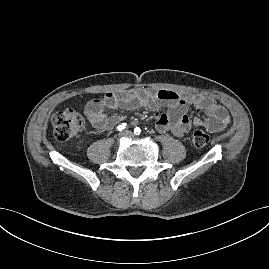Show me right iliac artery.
Instances as JSON below:
<instances>
[{
	"label": "right iliac artery",
	"mask_w": 269,
	"mask_h": 269,
	"mask_svg": "<svg viewBox=\"0 0 269 269\" xmlns=\"http://www.w3.org/2000/svg\"><path fill=\"white\" fill-rule=\"evenodd\" d=\"M126 127H127V124H126V123H122V124H120V125L117 126V130H118V131H122V130H124Z\"/></svg>",
	"instance_id": "obj_1"
}]
</instances>
